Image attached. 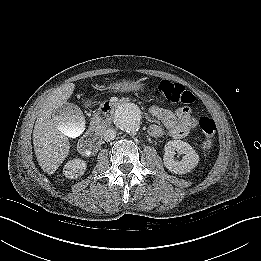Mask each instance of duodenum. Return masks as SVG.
Returning <instances> with one entry per match:
<instances>
[{
    "label": "duodenum",
    "instance_id": "duodenum-1",
    "mask_svg": "<svg viewBox=\"0 0 261 261\" xmlns=\"http://www.w3.org/2000/svg\"><path fill=\"white\" fill-rule=\"evenodd\" d=\"M111 107L100 117L94 120L93 128L80 140L78 148L83 154H94L102 145L101 132L112 122L113 114L110 113Z\"/></svg>",
    "mask_w": 261,
    "mask_h": 261
}]
</instances>
